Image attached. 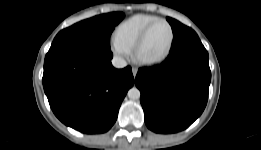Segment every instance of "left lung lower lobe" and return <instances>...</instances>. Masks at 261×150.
Masks as SVG:
<instances>
[{
	"mask_svg": "<svg viewBox=\"0 0 261 150\" xmlns=\"http://www.w3.org/2000/svg\"><path fill=\"white\" fill-rule=\"evenodd\" d=\"M211 81L208 52L189 27L174 34L167 59L141 68L135 84L147 127L156 133H175L189 127L203 112Z\"/></svg>",
	"mask_w": 261,
	"mask_h": 150,
	"instance_id": "left-lung-lower-lobe-1",
	"label": "left lung lower lobe"
}]
</instances>
